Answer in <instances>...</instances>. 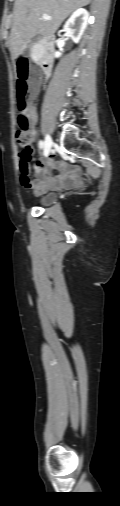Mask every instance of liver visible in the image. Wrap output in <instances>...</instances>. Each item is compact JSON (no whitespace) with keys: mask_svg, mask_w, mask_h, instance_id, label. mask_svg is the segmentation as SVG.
<instances>
[{"mask_svg":"<svg viewBox=\"0 0 120 506\" xmlns=\"http://www.w3.org/2000/svg\"><path fill=\"white\" fill-rule=\"evenodd\" d=\"M91 0H15L14 14L9 37L13 59L22 52L24 45L33 37L52 36L61 23L76 9ZM52 19L44 20L42 15Z\"/></svg>","mask_w":120,"mask_h":506,"instance_id":"obj_1","label":"liver"}]
</instances>
